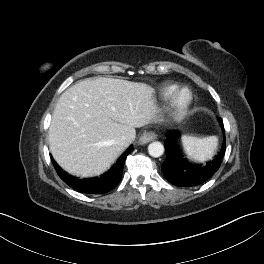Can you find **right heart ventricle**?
I'll return each instance as SVG.
<instances>
[{
    "instance_id": "obj_1",
    "label": "right heart ventricle",
    "mask_w": 264,
    "mask_h": 264,
    "mask_svg": "<svg viewBox=\"0 0 264 264\" xmlns=\"http://www.w3.org/2000/svg\"><path fill=\"white\" fill-rule=\"evenodd\" d=\"M175 89L174 85H169L165 88V94L166 96H169Z\"/></svg>"
}]
</instances>
